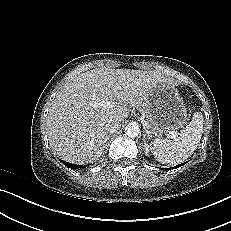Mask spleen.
Masks as SVG:
<instances>
[{
    "label": "spleen",
    "instance_id": "3e777b00",
    "mask_svg": "<svg viewBox=\"0 0 231 231\" xmlns=\"http://www.w3.org/2000/svg\"><path fill=\"white\" fill-rule=\"evenodd\" d=\"M203 133V115L194 113L191 122L178 134H171L165 139L157 138L153 142V153L162 164L176 165L196 150Z\"/></svg>",
    "mask_w": 231,
    "mask_h": 231
}]
</instances>
